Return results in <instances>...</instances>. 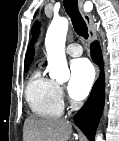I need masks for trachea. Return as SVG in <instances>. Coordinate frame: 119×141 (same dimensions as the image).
Masks as SVG:
<instances>
[{"label": "trachea", "instance_id": "1", "mask_svg": "<svg viewBox=\"0 0 119 141\" xmlns=\"http://www.w3.org/2000/svg\"><path fill=\"white\" fill-rule=\"evenodd\" d=\"M64 7L71 18L75 32L85 39L88 38V27L78 9L77 0H64Z\"/></svg>", "mask_w": 119, "mask_h": 141}]
</instances>
